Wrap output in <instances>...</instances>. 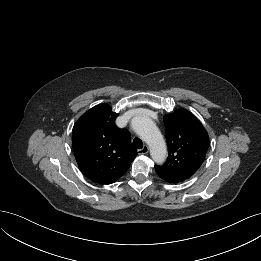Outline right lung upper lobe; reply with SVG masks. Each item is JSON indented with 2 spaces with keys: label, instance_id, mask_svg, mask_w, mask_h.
<instances>
[{
  "label": "right lung upper lobe",
  "instance_id": "cb5924a9",
  "mask_svg": "<svg viewBox=\"0 0 261 261\" xmlns=\"http://www.w3.org/2000/svg\"><path fill=\"white\" fill-rule=\"evenodd\" d=\"M118 116L107 104H99L74 124L72 145L82 173L99 184H111L129 168L137 155L130 134L115 125Z\"/></svg>",
  "mask_w": 261,
  "mask_h": 261
}]
</instances>
